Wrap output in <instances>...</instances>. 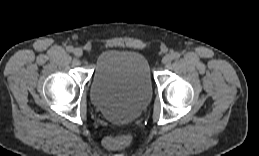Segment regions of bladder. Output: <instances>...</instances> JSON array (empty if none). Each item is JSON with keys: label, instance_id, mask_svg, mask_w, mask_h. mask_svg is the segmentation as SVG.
Wrapping results in <instances>:
<instances>
[{"label": "bladder", "instance_id": "31cf9c89", "mask_svg": "<svg viewBox=\"0 0 259 156\" xmlns=\"http://www.w3.org/2000/svg\"><path fill=\"white\" fill-rule=\"evenodd\" d=\"M91 98L107 119L127 122L137 118L152 96V77L147 59L140 53L110 49L96 62Z\"/></svg>", "mask_w": 259, "mask_h": 156}]
</instances>
